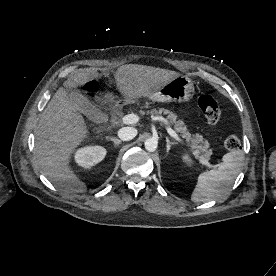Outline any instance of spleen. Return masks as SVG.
I'll return each mask as SVG.
<instances>
[{
	"instance_id": "1",
	"label": "spleen",
	"mask_w": 276,
	"mask_h": 276,
	"mask_svg": "<svg viewBox=\"0 0 276 276\" xmlns=\"http://www.w3.org/2000/svg\"><path fill=\"white\" fill-rule=\"evenodd\" d=\"M243 160L244 155L240 150L225 154L217 169L203 172L198 176L191 200L195 203H204L226 193L239 174Z\"/></svg>"
}]
</instances>
